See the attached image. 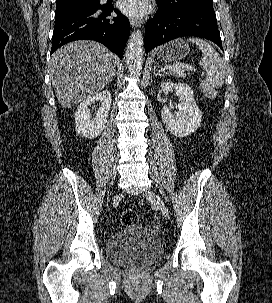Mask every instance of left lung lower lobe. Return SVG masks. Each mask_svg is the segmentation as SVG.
<instances>
[{
	"label": "left lung lower lobe",
	"mask_w": 272,
	"mask_h": 303,
	"mask_svg": "<svg viewBox=\"0 0 272 303\" xmlns=\"http://www.w3.org/2000/svg\"><path fill=\"white\" fill-rule=\"evenodd\" d=\"M182 36L206 38L223 50L214 9L167 10L158 6V12L146 23L145 52Z\"/></svg>",
	"instance_id": "obj_1"
}]
</instances>
